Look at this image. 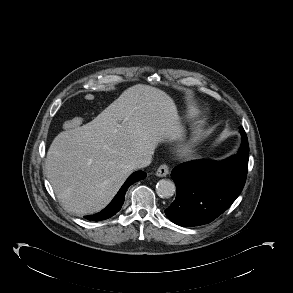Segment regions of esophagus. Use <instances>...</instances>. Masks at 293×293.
<instances>
[{"label":"esophagus","instance_id":"34e87169","mask_svg":"<svg viewBox=\"0 0 293 293\" xmlns=\"http://www.w3.org/2000/svg\"><path fill=\"white\" fill-rule=\"evenodd\" d=\"M155 174L158 177H165L166 175H168L169 174L168 165H166V164L160 165Z\"/></svg>","mask_w":293,"mask_h":293}]
</instances>
